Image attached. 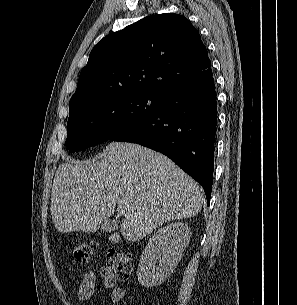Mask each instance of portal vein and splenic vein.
Here are the masks:
<instances>
[{"label": "portal vein and splenic vein", "instance_id": "18ae733b", "mask_svg": "<svg viewBox=\"0 0 297 305\" xmlns=\"http://www.w3.org/2000/svg\"><path fill=\"white\" fill-rule=\"evenodd\" d=\"M117 212L119 215H125V210L122 207H117Z\"/></svg>", "mask_w": 297, "mask_h": 305}]
</instances>
